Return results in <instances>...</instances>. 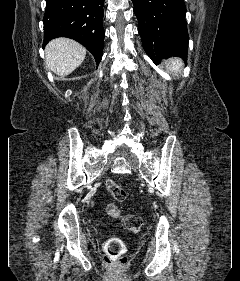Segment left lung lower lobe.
<instances>
[{
	"label": "left lung lower lobe",
	"instance_id": "0a47b994",
	"mask_svg": "<svg viewBox=\"0 0 240 281\" xmlns=\"http://www.w3.org/2000/svg\"><path fill=\"white\" fill-rule=\"evenodd\" d=\"M146 53L158 63L179 56L186 60L188 32L184 0H132Z\"/></svg>",
	"mask_w": 240,
	"mask_h": 281
}]
</instances>
